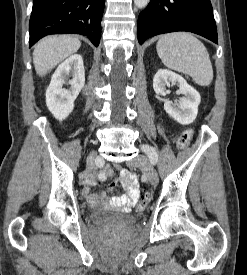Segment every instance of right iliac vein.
Masks as SVG:
<instances>
[{
  "mask_svg": "<svg viewBox=\"0 0 247 275\" xmlns=\"http://www.w3.org/2000/svg\"><path fill=\"white\" fill-rule=\"evenodd\" d=\"M96 154L91 153L87 159V166L85 170V174L88 178L93 179L95 177V166H94V159H95Z\"/></svg>",
  "mask_w": 247,
  "mask_h": 275,
  "instance_id": "63e3f726",
  "label": "right iliac vein"
}]
</instances>
